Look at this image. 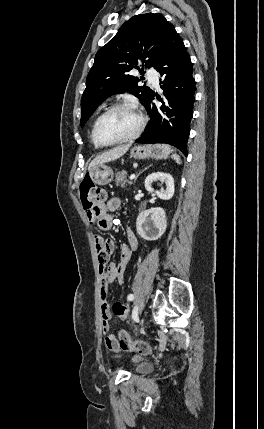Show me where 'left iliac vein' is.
Here are the masks:
<instances>
[{
	"label": "left iliac vein",
	"instance_id": "4c4485c4",
	"mask_svg": "<svg viewBox=\"0 0 264 429\" xmlns=\"http://www.w3.org/2000/svg\"><path fill=\"white\" fill-rule=\"evenodd\" d=\"M139 320H140V322H139V327L142 329L144 326V323H145V318L143 317V316H140L139 317Z\"/></svg>",
	"mask_w": 264,
	"mask_h": 429
}]
</instances>
